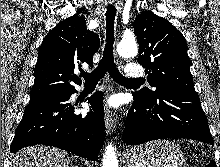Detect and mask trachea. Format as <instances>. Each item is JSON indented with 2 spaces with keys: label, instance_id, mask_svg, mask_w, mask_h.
<instances>
[{
  "label": "trachea",
  "instance_id": "obj_1",
  "mask_svg": "<svg viewBox=\"0 0 220 167\" xmlns=\"http://www.w3.org/2000/svg\"><path fill=\"white\" fill-rule=\"evenodd\" d=\"M116 8L109 6L106 11V44L103 52V57L98 63V66L91 72L81 73L85 83H96L104 77L106 72L113 78V80L119 84H129L141 79H129L124 77L118 70L113 55L114 45V21L116 16Z\"/></svg>",
  "mask_w": 220,
  "mask_h": 167
}]
</instances>
